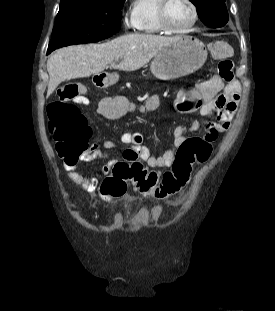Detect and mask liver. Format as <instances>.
<instances>
[{"label": "liver", "instance_id": "6515ba94", "mask_svg": "<svg viewBox=\"0 0 275 311\" xmlns=\"http://www.w3.org/2000/svg\"><path fill=\"white\" fill-rule=\"evenodd\" d=\"M179 39L180 37L135 33L123 35L103 44L75 45L59 49L47 61L49 73L47 96L66 80L101 73L117 58L123 59L115 65L117 69L138 70L162 49Z\"/></svg>", "mask_w": 275, "mask_h": 311}]
</instances>
